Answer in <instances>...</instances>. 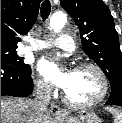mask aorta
I'll use <instances>...</instances> for the list:
<instances>
[{
    "mask_svg": "<svg viewBox=\"0 0 122 123\" xmlns=\"http://www.w3.org/2000/svg\"><path fill=\"white\" fill-rule=\"evenodd\" d=\"M66 22H67L66 14L62 12H57L54 13L50 19V27L54 32L58 33L65 26Z\"/></svg>",
    "mask_w": 122,
    "mask_h": 123,
    "instance_id": "762f6f07",
    "label": "aorta"
}]
</instances>
